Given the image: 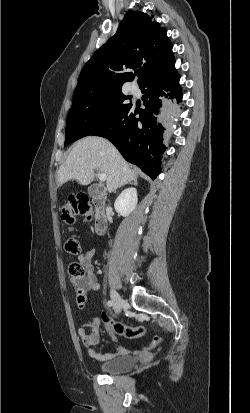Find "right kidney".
Instances as JSON below:
<instances>
[{"instance_id":"ca27d5eb","label":"right kidney","mask_w":250,"mask_h":413,"mask_svg":"<svg viewBox=\"0 0 250 413\" xmlns=\"http://www.w3.org/2000/svg\"><path fill=\"white\" fill-rule=\"evenodd\" d=\"M137 190L135 188H127L116 199L114 208L121 216H129L137 206Z\"/></svg>"}]
</instances>
